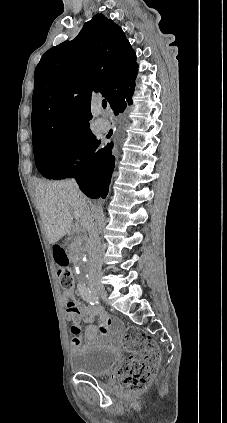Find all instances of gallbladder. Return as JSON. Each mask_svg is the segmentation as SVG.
I'll use <instances>...</instances> for the list:
<instances>
[{
    "mask_svg": "<svg viewBox=\"0 0 227 423\" xmlns=\"http://www.w3.org/2000/svg\"><path fill=\"white\" fill-rule=\"evenodd\" d=\"M77 235H79V231H73V233H71V235H69V237H66V239H64L63 243H62V247H65V245H69V243H72V241H74L75 237H77Z\"/></svg>",
    "mask_w": 227,
    "mask_h": 423,
    "instance_id": "1",
    "label": "gallbladder"
}]
</instances>
